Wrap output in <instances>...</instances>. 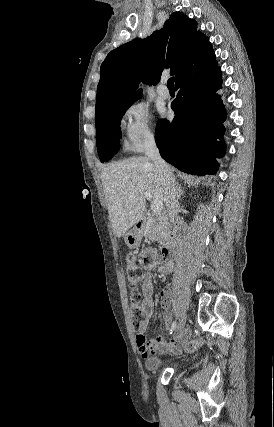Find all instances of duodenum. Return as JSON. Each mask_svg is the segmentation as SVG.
<instances>
[{
	"label": "duodenum",
	"mask_w": 274,
	"mask_h": 427,
	"mask_svg": "<svg viewBox=\"0 0 274 427\" xmlns=\"http://www.w3.org/2000/svg\"><path fill=\"white\" fill-rule=\"evenodd\" d=\"M137 230H142V222L137 224ZM175 240V232H172L171 235L162 241L161 243V255L164 261L169 262L172 257V247Z\"/></svg>",
	"instance_id": "duodenum-1"
}]
</instances>
